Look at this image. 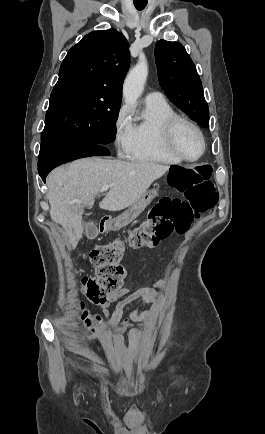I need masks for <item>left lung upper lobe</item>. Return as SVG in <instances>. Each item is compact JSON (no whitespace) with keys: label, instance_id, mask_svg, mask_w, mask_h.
Here are the masks:
<instances>
[{"label":"left lung upper lobe","instance_id":"1","mask_svg":"<svg viewBox=\"0 0 265 434\" xmlns=\"http://www.w3.org/2000/svg\"><path fill=\"white\" fill-rule=\"evenodd\" d=\"M159 83L167 97L199 126L209 127V109L200 77L185 48L160 40L155 46Z\"/></svg>","mask_w":265,"mask_h":434}]
</instances>
